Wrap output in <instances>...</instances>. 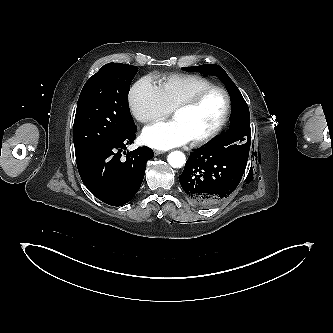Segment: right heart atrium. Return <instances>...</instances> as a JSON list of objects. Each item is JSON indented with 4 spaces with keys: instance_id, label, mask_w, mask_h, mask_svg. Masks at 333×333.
I'll use <instances>...</instances> for the list:
<instances>
[{
    "instance_id": "d8ad5b80",
    "label": "right heart atrium",
    "mask_w": 333,
    "mask_h": 333,
    "mask_svg": "<svg viewBox=\"0 0 333 333\" xmlns=\"http://www.w3.org/2000/svg\"><path fill=\"white\" fill-rule=\"evenodd\" d=\"M128 102L133 117L141 123L161 120L171 112L158 86L148 77L141 78L132 86Z\"/></svg>"
}]
</instances>
